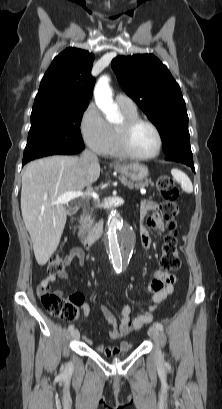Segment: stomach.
Returning <instances> with one entry per match:
<instances>
[{
    "mask_svg": "<svg viewBox=\"0 0 222 409\" xmlns=\"http://www.w3.org/2000/svg\"><path fill=\"white\" fill-rule=\"evenodd\" d=\"M115 170L136 182H141L148 176V168L140 163L117 165Z\"/></svg>",
    "mask_w": 222,
    "mask_h": 409,
    "instance_id": "0dacf381",
    "label": "stomach"
}]
</instances>
